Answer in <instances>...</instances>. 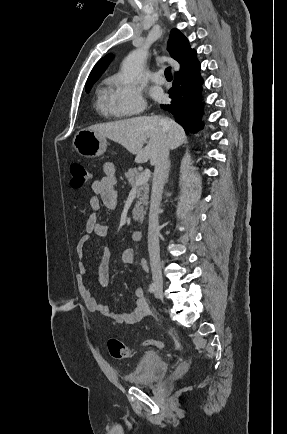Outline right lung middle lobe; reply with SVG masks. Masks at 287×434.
<instances>
[{
	"label": "right lung middle lobe",
	"mask_w": 287,
	"mask_h": 434,
	"mask_svg": "<svg viewBox=\"0 0 287 434\" xmlns=\"http://www.w3.org/2000/svg\"><path fill=\"white\" fill-rule=\"evenodd\" d=\"M95 82H96V81L86 83V92H87V93L90 91V89L92 88V86H93V84H94Z\"/></svg>",
	"instance_id": "1"
}]
</instances>
